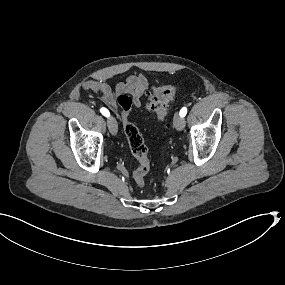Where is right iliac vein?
<instances>
[{
  "instance_id": "right-iliac-vein-1",
  "label": "right iliac vein",
  "mask_w": 285,
  "mask_h": 285,
  "mask_svg": "<svg viewBox=\"0 0 285 285\" xmlns=\"http://www.w3.org/2000/svg\"><path fill=\"white\" fill-rule=\"evenodd\" d=\"M107 125H108V128H109L111 134L116 135L118 132V125H117V121L115 120V118L110 117L107 120Z\"/></svg>"
}]
</instances>
